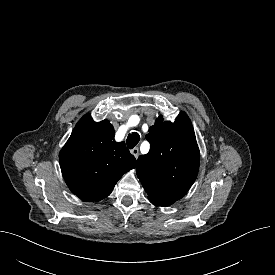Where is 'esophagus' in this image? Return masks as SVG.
<instances>
[{
    "instance_id": "1",
    "label": "esophagus",
    "mask_w": 275,
    "mask_h": 275,
    "mask_svg": "<svg viewBox=\"0 0 275 275\" xmlns=\"http://www.w3.org/2000/svg\"><path fill=\"white\" fill-rule=\"evenodd\" d=\"M131 153L134 155V157L137 159L139 156V148L135 147L131 150Z\"/></svg>"
}]
</instances>
